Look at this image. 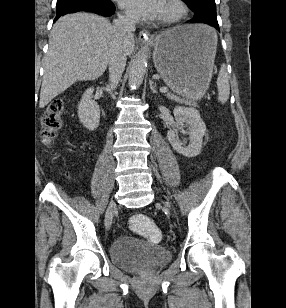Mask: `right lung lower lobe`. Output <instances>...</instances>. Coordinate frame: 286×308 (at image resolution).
<instances>
[{
	"mask_svg": "<svg viewBox=\"0 0 286 308\" xmlns=\"http://www.w3.org/2000/svg\"><path fill=\"white\" fill-rule=\"evenodd\" d=\"M79 11L92 12L102 16H110L114 13V4L110 1L108 3L100 2H76L65 4L57 7V15L54 22L62 15L67 13H75Z\"/></svg>",
	"mask_w": 286,
	"mask_h": 308,
	"instance_id": "98d812e1",
	"label": "right lung lower lobe"
}]
</instances>
